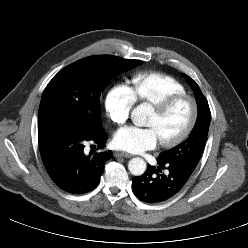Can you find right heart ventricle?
Wrapping results in <instances>:
<instances>
[{"instance_id": "1", "label": "right heart ventricle", "mask_w": 248, "mask_h": 248, "mask_svg": "<svg viewBox=\"0 0 248 248\" xmlns=\"http://www.w3.org/2000/svg\"><path fill=\"white\" fill-rule=\"evenodd\" d=\"M134 102L155 104L166 96L186 93L185 86L176 78L162 73L135 74L127 86Z\"/></svg>"}]
</instances>
